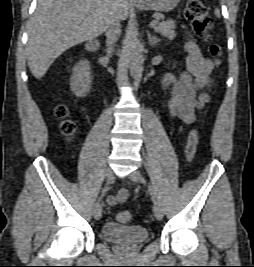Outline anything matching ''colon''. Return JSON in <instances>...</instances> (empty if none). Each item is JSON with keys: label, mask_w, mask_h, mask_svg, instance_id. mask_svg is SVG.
Returning a JSON list of instances; mask_svg holds the SVG:
<instances>
[{"label": "colon", "mask_w": 254, "mask_h": 267, "mask_svg": "<svg viewBox=\"0 0 254 267\" xmlns=\"http://www.w3.org/2000/svg\"><path fill=\"white\" fill-rule=\"evenodd\" d=\"M186 16L191 21L192 28L194 32L203 37L206 40H210V31L212 28V19L208 14L207 8L202 0H188L185 7ZM209 51L211 55L215 58L216 64H219V57L222 54V49L218 44L212 43L210 45ZM56 116L61 119V131L66 136H71L74 134L76 127L73 121H71L69 116L68 108L63 105H57L55 108ZM198 147V131L196 129H191L188 133L187 143L185 148V154L188 161H192L194 158ZM118 222L122 224H128L131 221V214L122 210L117 213L116 216Z\"/></svg>", "instance_id": "colon-1"}]
</instances>
